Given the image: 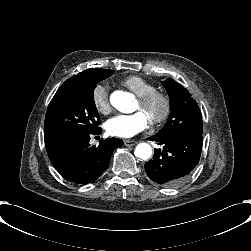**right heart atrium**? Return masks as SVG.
<instances>
[{
  "label": "right heart atrium",
  "mask_w": 251,
  "mask_h": 251,
  "mask_svg": "<svg viewBox=\"0 0 251 251\" xmlns=\"http://www.w3.org/2000/svg\"><path fill=\"white\" fill-rule=\"evenodd\" d=\"M91 101L94 108L102 113L105 114L109 111V95H108V88L105 84L99 83L96 84L91 92Z\"/></svg>",
  "instance_id": "1"
}]
</instances>
